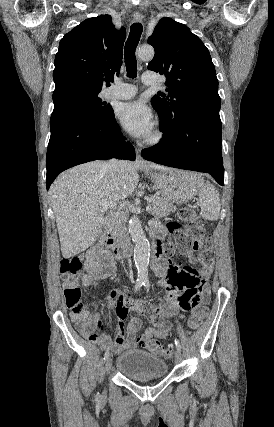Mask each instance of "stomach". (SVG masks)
Wrapping results in <instances>:
<instances>
[{"instance_id": "0dacf381", "label": "stomach", "mask_w": 274, "mask_h": 427, "mask_svg": "<svg viewBox=\"0 0 274 427\" xmlns=\"http://www.w3.org/2000/svg\"><path fill=\"white\" fill-rule=\"evenodd\" d=\"M150 180H152L156 188H160L163 196H166L168 200L174 202V204H186L189 200H192L199 180H201L199 174H191V172H182V170H165V172H159V174H151Z\"/></svg>"}]
</instances>
